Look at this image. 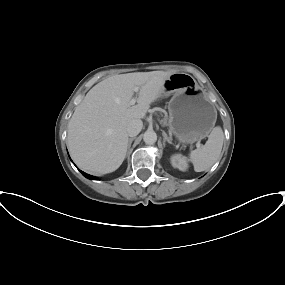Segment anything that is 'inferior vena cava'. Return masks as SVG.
<instances>
[{
	"mask_svg": "<svg viewBox=\"0 0 285 285\" xmlns=\"http://www.w3.org/2000/svg\"><path fill=\"white\" fill-rule=\"evenodd\" d=\"M143 123L140 119H133L128 125H127V134L130 137L137 136L140 131L142 130Z\"/></svg>",
	"mask_w": 285,
	"mask_h": 285,
	"instance_id": "obj_1",
	"label": "inferior vena cava"
}]
</instances>
